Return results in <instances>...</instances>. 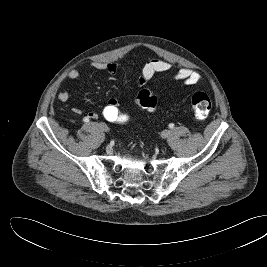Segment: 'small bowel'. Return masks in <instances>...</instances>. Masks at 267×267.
Here are the masks:
<instances>
[{
	"mask_svg": "<svg viewBox=\"0 0 267 267\" xmlns=\"http://www.w3.org/2000/svg\"><path fill=\"white\" fill-rule=\"evenodd\" d=\"M130 66H138L140 68V75L137 79V84L139 86L144 85L146 82L151 80L156 74L168 71L171 68V64L162 59H153L147 61L146 63L139 64L136 61H130L128 63ZM95 68L99 70L107 71L111 78L114 79L117 71L119 70L120 66L116 63H96ZM68 77L73 80H78L80 78V73L76 69H71L68 72ZM200 73L190 69V68H182L177 71L173 78L177 81L183 82L185 85H194L200 80ZM70 94L68 91H60L57 94V98L61 102H67L69 100ZM109 101L119 105V102L115 98H110ZM73 112L75 114H80L81 111L78 108H74ZM96 112H89L86 117L90 119L97 118Z\"/></svg>",
	"mask_w": 267,
	"mask_h": 267,
	"instance_id": "obj_1",
	"label": "small bowel"
}]
</instances>
